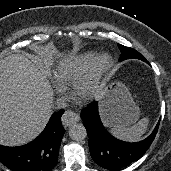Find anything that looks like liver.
<instances>
[{
  "mask_svg": "<svg viewBox=\"0 0 171 171\" xmlns=\"http://www.w3.org/2000/svg\"><path fill=\"white\" fill-rule=\"evenodd\" d=\"M53 91L45 71L23 55L0 61V144L24 145L52 115Z\"/></svg>",
  "mask_w": 171,
  "mask_h": 171,
  "instance_id": "6515ba94",
  "label": "liver"
}]
</instances>
